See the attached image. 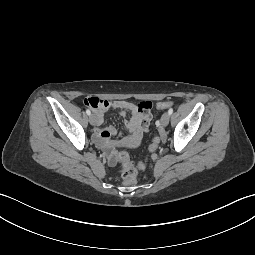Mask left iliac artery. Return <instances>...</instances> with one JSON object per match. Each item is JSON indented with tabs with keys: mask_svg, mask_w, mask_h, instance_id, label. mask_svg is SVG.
Segmentation results:
<instances>
[{
	"mask_svg": "<svg viewBox=\"0 0 255 255\" xmlns=\"http://www.w3.org/2000/svg\"><path fill=\"white\" fill-rule=\"evenodd\" d=\"M168 113H169V115H171V114L173 113V108H170V109L168 110Z\"/></svg>",
	"mask_w": 255,
	"mask_h": 255,
	"instance_id": "44dca946",
	"label": "left iliac artery"
}]
</instances>
